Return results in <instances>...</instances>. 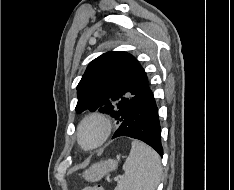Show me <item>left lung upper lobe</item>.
Instances as JSON below:
<instances>
[{"mask_svg":"<svg viewBox=\"0 0 234 190\" xmlns=\"http://www.w3.org/2000/svg\"><path fill=\"white\" fill-rule=\"evenodd\" d=\"M148 86L146 73L134 56L106 52L89 63L80 80L76 112L98 110L121 124Z\"/></svg>","mask_w":234,"mask_h":190,"instance_id":"5c2ea615","label":"left lung upper lobe"}]
</instances>
